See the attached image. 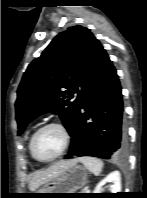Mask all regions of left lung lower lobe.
Here are the masks:
<instances>
[{"instance_id": "0a47b994", "label": "left lung lower lobe", "mask_w": 147, "mask_h": 198, "mask_svg": "<svg viewBox=\"0 0 147 198\" xmlns=\"http://www.w3.org/2000/svg\"><path fill=\"white\" fill-rule=\"evenodd\" d=\"M121 89L116 69L96 39L66 159L85 155L110 159L126 154L127 132Z\"/></svg>"}]
</instances>
